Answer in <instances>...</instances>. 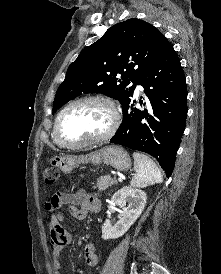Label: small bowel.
<instances>
[{"mask_svg": "<svg viewBox=\"0 0 221 274\" xmlns=\"http://www.w3.org/2000/svg\"><path fill=\"white\" fill-rule=\"evenodd\" d=\"M64 205H68L72 216L79 220L84 219L89 211L98 212L101 206L96 195L88 194L82 190L71 194H54L46 202L45 208L50 212L48 225L50 230V244L55 274H61V253L63 248L68 246L73 238L72 232L62 226L64 215L58 212V210ZM83 254L89 265H97L98 256L95 253V247L92 243H88L85 246Z\"/></svg>", "mask_w": 221, "mask_h": 274, "instance_id": "obj_1", "label": "small bowel"}]
</instances>
